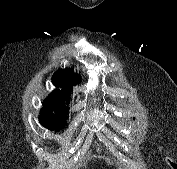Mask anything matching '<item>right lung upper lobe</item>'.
I'll list each match as a JSON object with an SVG mask.
<instances>
[{"mask_svg":"<svg viewBox=\"0 0 177 169\" xmlns=\"http://www.w3.org/2000/svg\"><path fill=\"white\" fill-rule=\"evenodd\" d=\"M52 82L56 87L62 88V90H54L48 99L44 100L43 107L45 108L64 104L65 101L69 102V94L72 87L81 82V76L74 73L72 69H61L53 74Z\"/></svg>","mask_w":177,"mask_h":169,"instance_id":"right-lung-upper-lobe-1","label":"right lung upper lobe"}]
</instances>
